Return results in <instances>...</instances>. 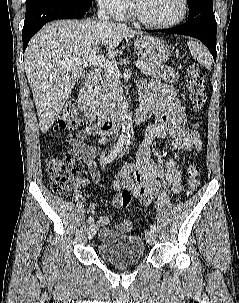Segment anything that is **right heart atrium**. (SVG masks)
Here are the masks:
<instances>
[{
    "mask_svg": "<svg viewBox=\"0 0 239 303\" xmlns=\"http://www.w3.org/2000/svg\"><path fill=\"white\" fill-rule=\"evenodd\" d=\"M98 6L114 18H123L130 7L129 0H95Z\"/></svg>",
    "mask_w": 239,
    "mask_h": 303,
    "instance_id": "right-heart-atrium-1",
    "label": "right heart atrium"
}]
</instances>
